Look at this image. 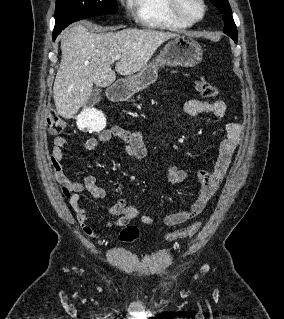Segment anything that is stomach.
I'll use <instances>...</instances> for the list:
<instances>
[{"mask_svg": "<svg viewBox=\"0 0 284 319\" xmlns=\"http://www.w3.org/2000/svg\"><path fill=\"white\" fill-rule=\"evenodd\" d=\"M202 56L203 50L198 42L190 37L177 36L164 46L155 61L148 63L138 74L123 79L122 84L129 93L142 91L156 81L159 67H192L202 60Z\"/></svg>", "mask_w": 284, "mask_h": 319, "instance_id": "0dacf381", "label": "stomach"}]
</instances>
